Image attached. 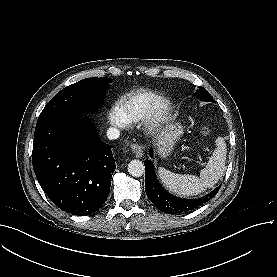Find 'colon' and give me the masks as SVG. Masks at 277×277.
<instances>
[{
    "label": "colon",
    "instance_id": "5ec220e1",
    "mask_svg": "<svg viewBox=\"0 0 277 277\" xmlns=\"http://www.w3.org/2000/svg\"><path fill=\"white\" fill-rule=\"evenodd\" d=\"M205 133L207 134V133H208V130H205Z\"/></svg>",
    "mask_w": 277,
    "mask_h": 277
}]
</instances>
